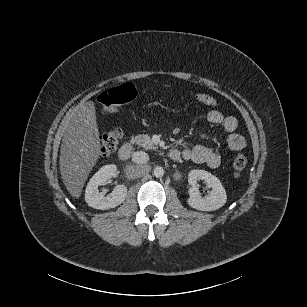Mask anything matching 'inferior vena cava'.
<instances>
[{"instance_id": "602c4592", "label": "inferior vena cava", "mask_w": 307, "mask_h": 307, "mask_svg": "<svg viewBox=\"0 0 307 307\" xmlns=\"http://www.w3.org/2000/svg\"><path fill=\"white\" fill-rule=\"evenodd\" d=\"M132 161L136 164H145L149 161V156L143 151H136L132 155Z\"/></svg>"}]
</instances>
